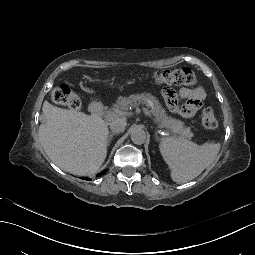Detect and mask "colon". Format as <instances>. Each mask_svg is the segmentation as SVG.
<instances>
[{
    "label": "colon",
    "mask_w": 255,
    "mask_h": 255,
    "mask_svg": "<svg viewBox=\"0 0 255 255\" xmlns=\"http://www.w3.org/2000/svg\"><path fill=\"white\" fill-rule=\"evenodd\" d=\"M154 80L158 84L167 85H187L195 86L198 79L194 72L189 68H176L170 70L159 71L155 73ZM52 99L59 105H64L70 109L76 110L80 108V98L67 85H60L53 89ZM202 124L208 130H214L218 127V120L214 110L210 106H205L202 111Z\"/></svg>",
    "instance_id": "obj_1"
}]
</instances>
